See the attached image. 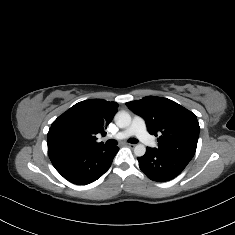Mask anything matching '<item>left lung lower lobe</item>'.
<instances>
[{"label":"left lung lower lobe","mask_w":235,"mask_h":235,"mask_svg":"<svg viewBox=\"0 0 235 235\" xmlns=\"http://www.w3.org/2000/svg\"><path fill=\"white\" fill-rule=\"evenodd\" d=\"M139 167L151 180L164 182L178 176L190 160L147 147L146 153L137 158Z\"/></svg>","instance_id":"1"}]
</instances>
